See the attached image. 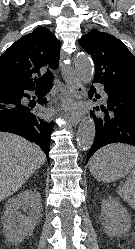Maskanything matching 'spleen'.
<instances>
[{
	"mask_svg": "<svg viewBox=\"0 0 135 249\" xmlns=\"http://www.w3.org/2000/svg\"><path fill=\"white\" fill-rule=\"evenodd\" d=\"M115 156L129 160L134 166L123 187H118V194L129 206L135 209V148L124 144L109 145L98 151L90 160L89 166L103 157Z\"/></svg>",
	"mask_w": 135,
	"mask_h": 249,
	"instance_id": "1",
	"label": "spleen"
}]
</instances>
